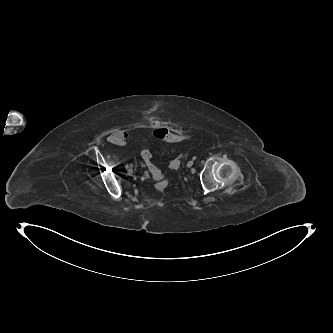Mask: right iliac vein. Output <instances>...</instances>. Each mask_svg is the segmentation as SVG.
Instances as JSON below:
<instances>
[{"label": "right iliac vein", "mask_w": 333, "mask_h": 333, "mask_svg": "<svg viewBox=\"0 0 333 333\" xmlns=\"http://www.w3.org/2000/svg\"><path fill=\"white\" fill-rule=\"evenodd\" d=\"M132 173H133V169H132V168H130V169H129V171H128V175H129V176H131V175H132Z\"/></svg>", "instance_id": "1"}]
</instances>
